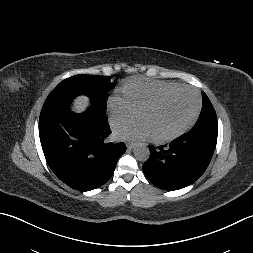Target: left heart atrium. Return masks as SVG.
I'll return each instance as SVG.
<instances>
[{
	"mask_svg": "<svg viewBox=\"0 0 253 253\" xmlns=\"http://www.w3.org/2000/svg\"><path fill=\"white\" fill-rule=\"evenodd\" d=\"M114 135L117 139L123 140H139L151 137L148 126L139 118L135 121L116 125Z\"/></svg>",
	"mask_w": 253,
	"mask_h": 253,
	"instance_id": "39dd6f15",
	"label": "left heart atrium"
}]
</instances>
